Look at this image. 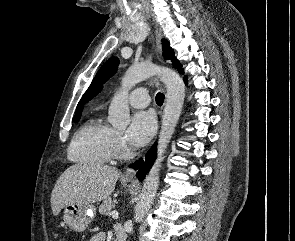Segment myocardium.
I'll return each instance as SVG.
<instances>
[{
	"label": "myocardium",
	"instance_id": "f54148a6",
	"mask_svg": "<svg viewBox=\"0 0 295 241\" xmlns=\"http://www.w3.org/2000/svg\"><path fill=\"white\" fill-rule=\"evenodd\" d=\"M131 151L126 147L120 135L115 134L112 147V156L118 159L131 157Z\"/></svg>",
	"mask_w": 295,
	"mask_h": 241
}]
</instances>
